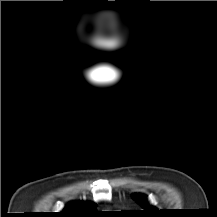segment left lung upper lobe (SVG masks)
<instances>
[{
    "mask_svg": "<svg viewBox=\"0 0 217 217\" xmlns=\"http://www.w3.org/2000/svg\"><path fill=\"white\" fill-rule=\"evenodd\" d=\"M134 200L145 210V212H154L157 210L153 206H151L146 199V196L141 194H135L133 195Z\"/></svg>",
    "mask_w": 217,
    "mask_h": 217,
    "instance_id": "left-lung-upper-lobe-1",
    "label": "left lung upper lobe"
}]
</instances>
